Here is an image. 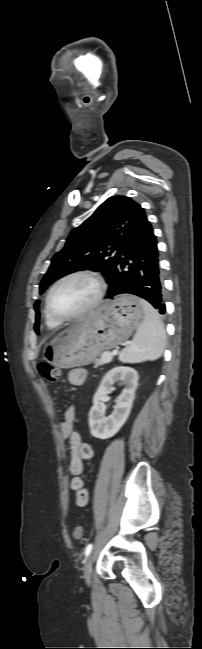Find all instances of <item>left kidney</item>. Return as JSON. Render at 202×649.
Returning a JSON list of instances; mask_svg holds the SVG:
<instances>
[{"label":"left kidney","instance_id":"5707ae66","mask_svg":"<svg viewBox=\"0 0 202 649\" xmlns=\"http://www.w3.org/2000/svg\"><path fill=\"white\" fill-rule=\"evenodd\" d=\"M121 382L125 385L111 415L105 417L102 401L114 391L113 384ZM138 386V373L130 367H116L110 370L102 379L93 397V406L89 412V427L91 434L99 439L114 436L126 422L135 398Z\"/></svg>","mask_w":202,"mask_h":649}]
</instances>
